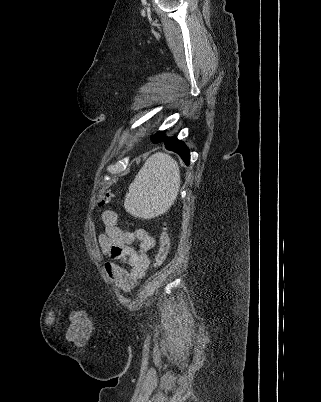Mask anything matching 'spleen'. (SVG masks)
I'll return each instance as SVG.
<instances>
[{
    "mask_svg": "<svg viewBox=\"0 0 321 402\" xmlns=\"http://www.w3.org/2000/svg\"><path fill=\"white\" fill-rule=\"evenodd\" d=\"M180 188L178 163L168 154L149 157L129 186L124 207L131 215L150 219L166 212Z\"/></svg>",
    "mask_w": 321,
    "mask_h": 402,
    "instance_id": "3e777b00",
    "label": "spleen"
}]
</instances>
